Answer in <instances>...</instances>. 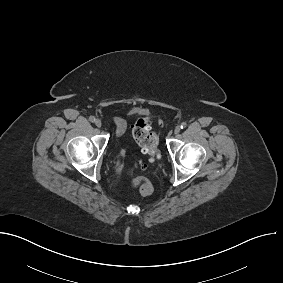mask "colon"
I'll return each instance as SVG.
<instances>
[{"mask_svg": "<svg viewBox=\"0 0 283 283\" xmlns=\"http://www.w3.org/2000/svg\"><path fill=\"white\" fill-rule=\"evenodd\" d=\"M154 123L160 124L161 121L155 116H145L139 118L132 128V134L135 141L142 148L143 152L155 156L158 139L156 134L152 131ZM136 185L142 195H150L153 191L151 182L147 179H140Z\"/></svg>", "mask_w": 283, "mask_h": 283, "instance_id": "obj_1", "label": "colon"}]
</instances>
